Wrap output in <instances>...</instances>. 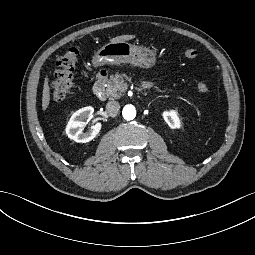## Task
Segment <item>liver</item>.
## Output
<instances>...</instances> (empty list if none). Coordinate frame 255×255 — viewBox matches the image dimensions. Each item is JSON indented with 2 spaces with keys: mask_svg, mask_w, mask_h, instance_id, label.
I'll return each mask as SVG.
<instances>
[{
  "mask_svg": "<svg viewBox=\"0 0 255 255\" xmlns=\"http://www.w3.org/2000/svg\"><path fill=\"white\" fill-rule=\"evenodd\" d=\"M135 38L134 35H121L117 36L115 38H112L110 41L111 42H120V41H127ZM50 88L48 85V78H45L44 80V86H43V94H42V109L46 110L49 102H50Z\"/></svg>",
  "mask_w": 255,
  "mask_h": 255,
  "instance_id": "liver-1",
  "label": "liver"
}]
</instances>
